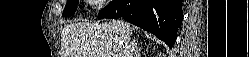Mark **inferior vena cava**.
Segmentation results:
<instances>
[{
  "label": "inferior vena cava",
  "instance_id": "602c4592",
  "mask_svg": "<svg viewBox=\"0 0 249 57\" xmlns=\"http://www.w3.org/2000/svg\"><path fill=\"white\" fill-rule=\"evenodd\" d=\"M122 47L124 49V57H135V47L131 43L130 38L123 35L121 36ZM137 57V55H136Z\"/></svg>",
  "mask_w": 249,
  "mask_h": 57
}]
</instances>
